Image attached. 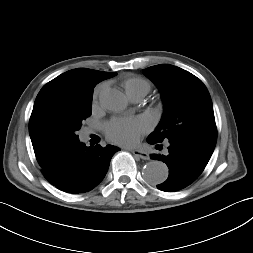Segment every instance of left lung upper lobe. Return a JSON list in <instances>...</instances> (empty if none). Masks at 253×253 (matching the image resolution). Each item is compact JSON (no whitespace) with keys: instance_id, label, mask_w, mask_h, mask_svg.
<instances>
[{"instance_id":"1","label":"left lung upper lobe","mask_w":253,"mask_h":253,"mask_svg":"<svg viewBox=\"0 0 253 253\" xmlns=\"http://www.w3.org/2000/svg\"><path fill=\"white\" fill-rule=\"evenodd\" d=\"M144 74L157 85L164 103L163 117L149 139L162 142L187 138L216 144L213 105L200 79L170 64L149 67Z\"/></svg>"}]
</instances>
